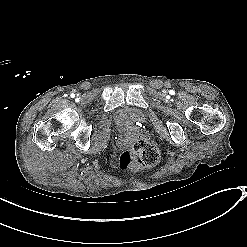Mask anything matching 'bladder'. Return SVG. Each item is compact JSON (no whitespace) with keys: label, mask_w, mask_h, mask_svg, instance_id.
Here are the masks:
<instances>
[{"label":"bladder","mask_w":247,"mask_h":247,"mask_svg":"<svg viewBox=\"0 0 247 247\" xmlns=\"http://www.w3.org/2000/svg\"><path fill=\"white\" fill-rule=\"evenodd\" d=\"M111 118L116 126L122 132H125L136 128H143L146 125L147 113L139 106L124 104L112 110Z\"/></svg>","instance_id":"obj_1"}]
</instances>
